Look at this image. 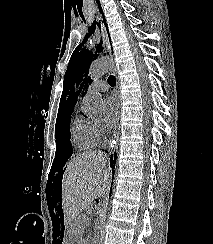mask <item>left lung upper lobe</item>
<instances>
[{
    "label": "left lung upper lobe",
    "mask_w": 213,
    "mask_h": 244,
    "mask_svg": "<svg viewBox=\"0 0 213 244\" xmlns=\"http://www.w3.org/2000/svg\"><path fill=\"white\" fill-rule=\"evenodd\" d=\"M98 47L99 45L97 46V51H99ZM96 58L97 53H93L92 51L82 48V45L75 49L64 76V87L60 107L69 104L74 98L77 97V95H79V92L83 88L86 81L90 63ZM90 81V78H88L87 82ZM74 85H80V90L75 92Z\"/></svg>",
    "instance_id": "1"
}]
</instances>
